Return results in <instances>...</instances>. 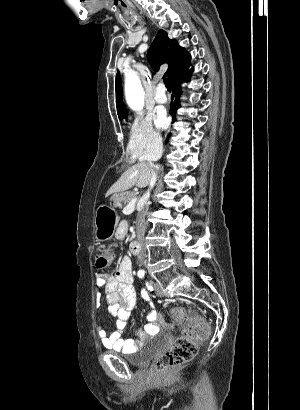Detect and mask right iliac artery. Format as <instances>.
<instances>
[{
    "label": "right iliac artery",
    "mask_w": 300,
    "mask_h": 410,
    "mask_svg": "<svg viewBox=\"0 0 300 410\" xmlns=\"http://www.w3.org/2000/svg\"><path fill=\"white\" fill-rule=\"evenodd\" d=\"M144 275H145V272H144V271H139V272H138V277H139V278H143Z\"/></svg>",
    "instance_id": "1"
}]
</instances>
